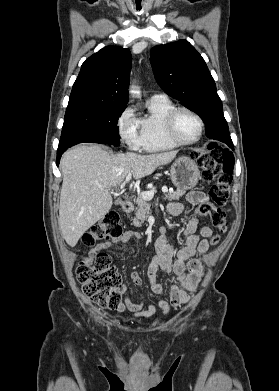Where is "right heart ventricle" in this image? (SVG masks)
Returning <instances> with one entry per match:
<instances>
[{
	"label": "right heart ventricle",
	"instance_id": "right-heart-ventricle-1",
	"mask_svg": "<svg viewBox=\"0 0 279 391\" xmlns=\"http://www.w3.org/2000/svg\"><path fill=\"white\" fill-rule=\"evenodd\" d=\"M175 104L166 96L151 97L147 102V113L139 120L140 149L147 152H162L178 147L166 132L165 118Z\"/></svg>",
	"mask_w": 279,
	"mask_h": 391
}]
</instances>
